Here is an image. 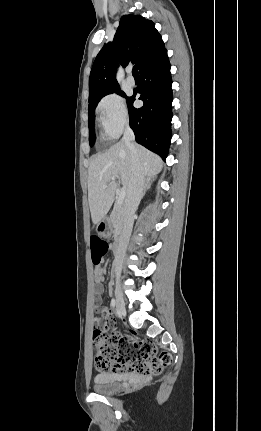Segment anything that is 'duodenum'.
<instances>
[{
    "label": "duodenum",
    "mask_w": 261,
    "mask_h": 431,
    "mask_svg": "<svg viewBox=\"0 0 261 431\" xmlns=\"http://www.w3.org/2000/svg\"><path fill=\"white\" fill-rule=\"evenodd\" d=\"M120 239H118L112 246V250L115 254L119 253Z\"/></svg>",
    "instance_id": "410a0bca"
}]
</instances>
